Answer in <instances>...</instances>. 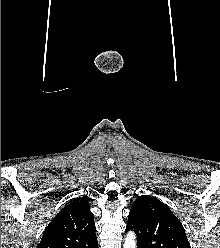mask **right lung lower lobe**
<instances>
[{
    "label": "right lung lower lobe",
    "mask_w": 220,
    "mask_h": 248,
    "mask_svg": "<svg viewBox=\"0 0 220 248\" xmlns=\"http://www.w3.org/2000/svg\"><path fill=\"white\" fill-rule=\"evenodd\" d=\"M91 248H98V243H95L94 245H92Z\"/></svg>",
    "instance_id": "right-lung-lower-lobe-1"
}]
</instances>
